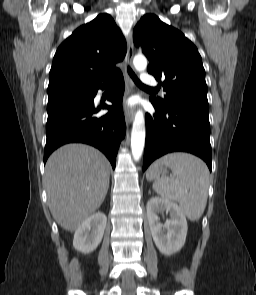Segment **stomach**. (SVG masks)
I'll return each instance as SVG.
<instances>
[{
    "label": "stomach",
    "instance_id": "0dacf381",
    "mask_svg": "<svg viewBox=\"0 0 256 295\" xmlns=\"http://www.w3.org/2000/svg\"><path fill=\"white\" fill-rule=\"evenodd\" d=\"M158 172L164 174L166 172V168H164L163 166H160L158 169Z\"/></svg>",
    "mask_w": 256,
    "mask_h": 295
}]
</instances>
